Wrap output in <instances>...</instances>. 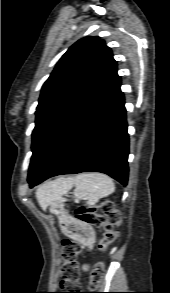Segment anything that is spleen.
<instances>
[{"instance_id": "1", "label": "spleen", "mask_w": 170, "mask_h": 293, "mask_svg": "<svg viewBox=\"0 0 170 293\" xmlns=\"http://www.w3.org/2000/svg\"><path fill=\"white\" fill-rule=\"evenodd\" d=\"M51 184L56 186V182ZM72 184L75 185L73 192L75 198L86 200L87 206H94L101 198L112 194L115 190L112 179L101 173L79 174L72 180Z\"/></svg>"}]
</instances>
